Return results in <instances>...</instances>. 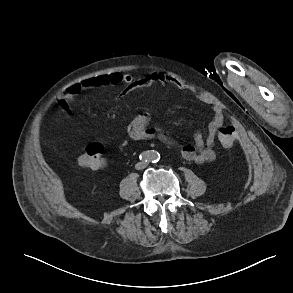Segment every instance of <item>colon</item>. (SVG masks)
<instances>
[{"mask_svg": "<svg viewBox=\"0 0 293 293\" xmlns=\"http://www.w3.org/2000/svg\"><path fill=\"white\" fill-rule=\"evenodd\" d=\"M236 138V131L233 126H224L218 131V139L223 147L233 145ZM104 147L100 142L88 144L82 154L78 157L79 166L91 170H97L104 166Z\"/></svg>", "mask_w": 293, "mask_h": 293, "instance_id": "colon-1", "label": "colon"}]
</instances>
